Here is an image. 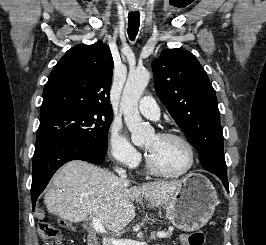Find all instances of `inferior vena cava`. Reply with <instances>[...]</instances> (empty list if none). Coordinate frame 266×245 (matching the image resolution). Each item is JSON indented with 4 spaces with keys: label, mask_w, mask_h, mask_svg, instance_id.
Segmentation results:
<instances>
[{
    "label": "inferior vena cava",
    "mask_w": 266,
    "mask_h": 245,
    "mask_svg": "<svg viewBox=\"0 0 266 245\" xmlns=\"http://www.w3.org/2000/svg\"><path fill=\"white\" fill-rule=\"evenodd\" d=\"M115 171H116V173H118V175H119V177H121V179H126V177H127L126 171H123V169H115ZM102 243H103V245H113L112 239H108V237H103Z\"/></svg>",
    "instance_id": "1"
}]
</instances>
